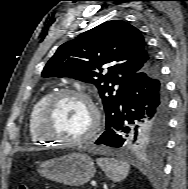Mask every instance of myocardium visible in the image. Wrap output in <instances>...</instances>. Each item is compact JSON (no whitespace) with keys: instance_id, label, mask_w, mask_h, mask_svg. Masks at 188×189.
<instances>
[{"instance_id":"1","label":"myocardium","mask_w":188,"mask_h":189,"mask_svg":"<svg viewBox=\"0 0 188 189\" xmlns=\"http://www.w3.org/2000/svg\"><path fill=\"white\" fill-rule=\"evenodd\" d=\"M67 97H74L85 101L88 104L93 116L91 127L83 136L79 138H74V139L61 138L58 135L51 134L48 128L49 118L54 107L61 99ZM100 126H101V112L97 104L89 94L74 89H61L54 92L45 102L37 121V132L42 139L47 140L49 142H58L66 146H76L86 143L87 141L95 137L100 129Z\"/></svg>"}]
</instances>
